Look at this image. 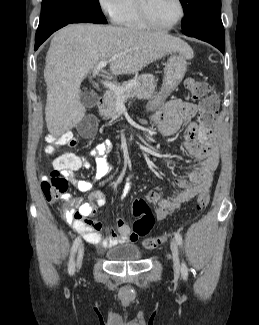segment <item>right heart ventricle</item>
Returning a JSON list of instances; mask_svg holds the SVG:
<instances>
[{
	"mask_svg": "<svg viewBox=\"0 0 259 325\" xmlns=\"http://www.w3.org/2000/svg\"><path fill=\"white\" fill-rule=\"evenodd\" d=\"M122 26L134 29H144L146 25L142 21L137 6V0H128L126 7L116 19Z\"/></svg>",
	"mask_w": 259,
	"mask_h": 325,
	"instance_id": "1",
	"label": "right heart ventricle"
}]
</instances>
